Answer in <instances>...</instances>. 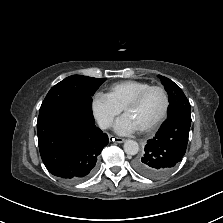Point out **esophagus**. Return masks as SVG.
<instances>
[{
  "instance_id": "esophagus-1",
  "label": "esophagus",
  "mask_w": 223,
  "mask_h": 223,
  "mask_svg": "<svg viewBox=\"0 0 223 223\" xmlns=\"http://www.w3.org/2000/svg\"><path fill=\"white\" fill-rule=\"evenodd\" d=\"M112 141L116 143H124L126 140L120 137H112Z\"/></svg>"
}]
</instances>
